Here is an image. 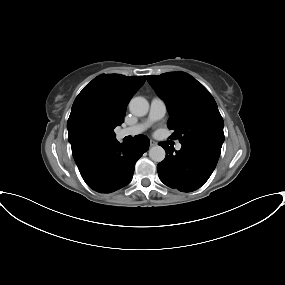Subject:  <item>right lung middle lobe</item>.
<instances>
[{"mask_svg":"<svg viewBox=\"0 0 285 285\" xmlns=\"http://www.w3.org/2000/svg\"><path fill=\"white\" fill-rule=\"evenodd\" d=\"M114 126L109 127H91L89 131V138L92 144H102L107 143L115 139V134L113 132Z\"/></svg>","mask_w":285,"mask_h":285,"instance_id":"right-lung-middle-lobe-1","label":"right lung middle lobe"}]
</instances>
